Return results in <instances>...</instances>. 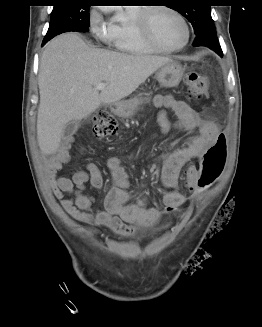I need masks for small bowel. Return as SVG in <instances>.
I'll use <instances>...</instances> for the list:
<instances>
[{
  "label": "small bowel",
  "instance_id": "c3829d8e",
  "mask_svg": "<svg viewBox=\"0 0 262 327\" xmlns=\"http://www.w3.org/2000/svg\"><path fill=\"white\" fill-rule=\"evenodd\" d=\"M154 105L161 109L158 113V123L162 133H167L173 127L183 131H198V135L193 137L187 146L172 152L162 166L161 180L167 189L162 204L174 203L175 206H182L188 199L178 190L182 168L188 163L187 170L182 172L183 177H188L183 179V184L186 190H195L197 168L195 163L189 162L196 160L201 163L202 154L206 153L208 144L219 143L215 137L222 134L214 123L203 120L182 100L162 95L155 97ZM166 108L175 112L177 116L175 123L169 120ZM72 143L71 137L66 138L46 167L53 194L71 217L84 223L104 226L124 237L134 234L135 224L152 226L157 223L161 211L149 207L144 198L132 200L129 192V174L117 158H110L106 163L114 187L105 198L104 209L93 213L94 197L85 193L84 189L88 182L96 189L103 186V175L99 167L89 163L86 170L78 171L73 177L58 176V171L69 160ZM66 194H74V198L66 197Z\"/></svg>",
  "mask_w": 262,
  "mask_h": 327
}]
</instances>
